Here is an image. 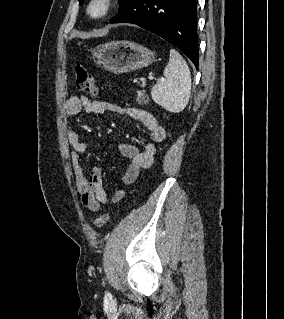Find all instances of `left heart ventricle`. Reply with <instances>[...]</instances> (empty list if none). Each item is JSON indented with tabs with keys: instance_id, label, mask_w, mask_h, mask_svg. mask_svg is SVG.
<instances>
[{
	"instance_id": "left-heart-ventricle-1",
	"label": "left heart ventricle",
	"mask_w": 284,
	"mask_h": 319,
	"mask_svg": "<svg viewBox=\"0 0 284 319\" xmlns=\"http://www.w3.org/2000/svg\"><path fill=\"white\" fill-rule=\"evenodd\" d=\"M93 11H94V12H97V11H98V7L95 6V7L93 8Z\"/></svg>"
}]
</instances>
